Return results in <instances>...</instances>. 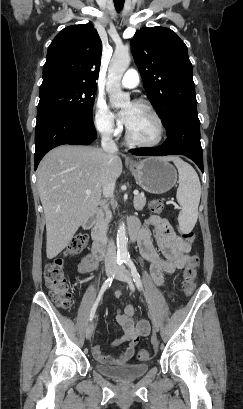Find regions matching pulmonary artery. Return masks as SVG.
<instances>
[{
	"label": "pulmonary artery",
	"instance_id": "pulmonary-artery-1",
	"mask_svg": "<svg viewBox=\"0 0 243 409\" xmlns=\"http://www.w3.org/2000/svg\"><path fill=\"white\" fill-rule=\"evenodd\" d=\"M139 73L134 69H129L123 75L121 84L125 88H135L139 84Z\"/></svg>",
	"mask_w": 243,
	"mask_h": 409
}]
</instances>
